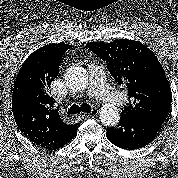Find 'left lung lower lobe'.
Instances as JSON below:
<instances>
[{
  "label": "left lung lower lobe",
  "mask_w": 178,
  "mask_h": 178,
  "mask_svg": "<svg viewBox=\"0 0 178 178\" xmlns=\"http://www.w3.org/2000/svg\"><path fill=\"white\" fill-rule=\"evenodd\" d=\"M164 121L121 115L117 127L107 128V139L119 148L134 150L152 142Z\"/></svg>",
  "instance_id": "obj_1"
}]
</instances>
